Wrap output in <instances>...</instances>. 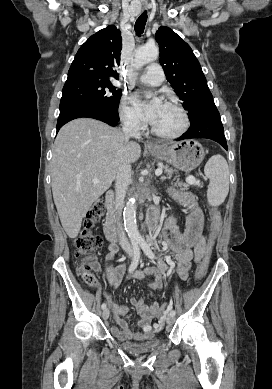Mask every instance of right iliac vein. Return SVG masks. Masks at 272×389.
<instances>
[{"mask_svg":"<svg viewBox=\"0 0 272 389\" xmlns=\"http://www.w3.org/2000/svg\"><path fill=\"white\" fill-rule=\"evenodd\" d=\"M109 314H110L109 309H107V308L104 309L103 312H102V317H103V319H104V320H107L108 317H109Z\"/></svg>","mask_w":272,"mask_h":389,"instance_id":"63e3f726","label":"right iliac vein"}]
</instances>
